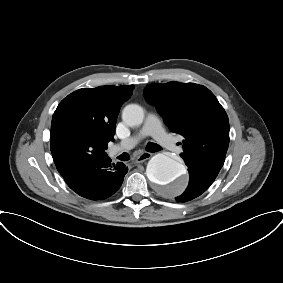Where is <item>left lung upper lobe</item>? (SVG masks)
<instances>
[{"label":"left lung upper lobe","instance_id":"left-lung-upper-lobe-1","mask_svg":"<svg viewBox=\"0 0 283 283\" xmlns=\"http://www.w3.org/2000/svg\"><path fill=\"white\" fill-rule=\"evenodd\" d=\"M169 128L183 136L188 167L217 176L229 145V120L213 93L195 83H155L145 89Z\"/></svg>","mask_w":283,"mask_h":283}]
</instances>
